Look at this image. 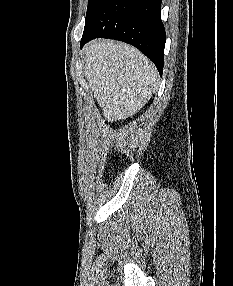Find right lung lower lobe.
Segmentation results:
<instances>
[{
  "instance_id": "right-lung-lower-lobe-1",
  "label": "right lung lower lobe",
  "mask_w": 233,
  "mask_h": 286,
  "mask_svg": "<svg viewBox=\"0 0 233 286\" xmlns=\"http://www.w3.org/2000/svg\"><path fill=\"white\" fill-rule=\"evenodd\" d=\"M161 0H101L86 18L80 46L94 38H110L138 48L163 71L166 34Z\"/></svg>"
}]
</instances>
